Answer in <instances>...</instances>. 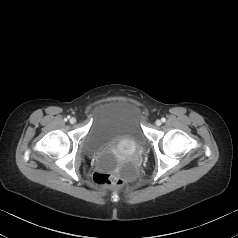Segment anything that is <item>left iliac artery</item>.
<instances>
[{"label":"left iliac artery","mask_w":238,"mask_h":238,"mask_svg":"<svg viewBox=\"0 0 238 238\" xmlns=\"http://www.w3.org/2000/svg\"><path fill=\"white\" fill-rule=\"evenodd\" d=\"M161 121H162V122H165V121H166V119L163 117V118L161 119Z\"/></svg>","instance_id":"44dca946"}]
</instances>
